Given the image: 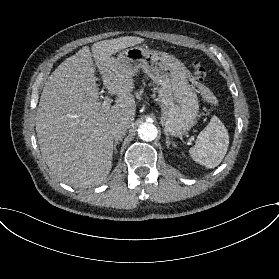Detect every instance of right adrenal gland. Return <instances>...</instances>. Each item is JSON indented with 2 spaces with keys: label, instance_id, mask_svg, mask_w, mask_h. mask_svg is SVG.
<instances>
[{
  "label": "right adrenal gland",
  "instance_id": "right-adrenal-gland-1",
  "mask_svg": "<svg viewBox=\"0 0 279 279\" xmlns=\"http://www.w3.org/2000/svg\"><path fill=\"white\" fill-rule=\"evenodd\" d=\"M120 141H121V140H120ZM120 141H119V140H116L115 143H114V153H115V154H117V152H118V151H117V145L120 143Z\"/></svg>",
  "mask_w": 279,
  "mask_h": 279
}]
</instances>
